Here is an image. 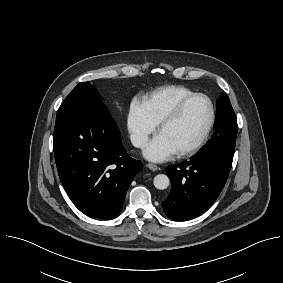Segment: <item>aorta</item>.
Returning a JSON list of instances; mask_svg holds the SVG:
<instances>
[{"label": "aorta", "instance_id": "1", "mask_svg": "<svg viewBox=\"0 0 283 283\" xmlns=\"http://www.w3.org/2000/svg\"><path fill=\"white\" fill-rule=\"evenodd\" d=\"M153 184L155 188L159 190H164L169 186L170 180L167 175L158 174L154 177Z\"/></svg>", "mask_w": 283, "mask_h": 283}]
</instances>
